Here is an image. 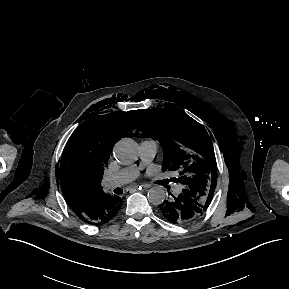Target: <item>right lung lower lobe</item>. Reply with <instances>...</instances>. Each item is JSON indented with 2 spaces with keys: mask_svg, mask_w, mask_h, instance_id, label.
Masks as SVG:
<instances>
[{
  "mask_svg": "<svg viewBox=\"0 0 289 289\" xmlns=\"http://www.w3.org/2000/svg\"><path fill=\"white\" fill-rule=\"evenodd\" d=\"M123 198L102 193L83 212L76 214L81 220L93 225L108 222L119 211Z\"/></svg>",
  "mask_w": 289,
  "mask_h": 289,
  "instance_id": "right-lung-lower-lobe-1",
  "label": "right lung lower lobe"
}]
</instances>
